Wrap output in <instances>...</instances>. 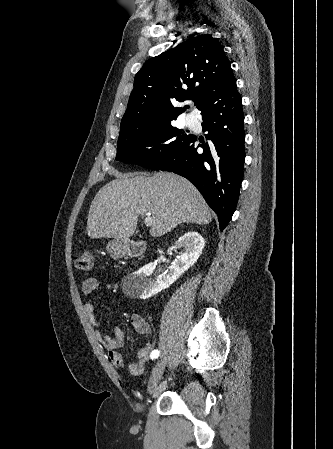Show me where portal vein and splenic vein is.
Here are the masks:
<instances>
[{
    "instance_id": "18ae733b",
    "label": "portal vein and splenic vein",
    "mask_w": 333,
    "mask_h": 449,
    "mask_svg": "<svg viewBox=\"0 0 333 449\" xmlns=\"http://www.w3.org/2000/svg\"><path fill=\"white\" fill-rule=\"evenodd\" d=\"M145 225L146 226H151L152 225V216L150 213L146 214V218H145Z\"/></svg>"
}]
</instances>
